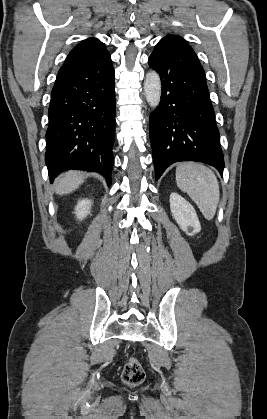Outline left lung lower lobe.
<instances>
[{"label":"left lung lower lobe","mask_w":267,"mask_h":419,"mask_svg":"<svg viewBox=\"0 0 267 419\" xmlns=\"http://www.w3.org/2000/svg\"><path fill=\"white\" fill-rule=\"evenodd\" d=\"M161 77L159 106L150 115L149 134L156 180L179 161H198L221 174L224 158L206 77L192 48L160 41L148 60Z\"/></svg>","instance_id":"1"}]
</instances>
